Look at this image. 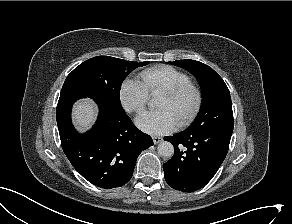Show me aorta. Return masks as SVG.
Masks as SVG:
<instances>
[{"label":"aorta","instance_id":"obj_1","mask_svg":"<svg viewBox=\"0 0 292 224\" xmlns=\"http://www.w3.org/2000/svg\"><path fill=\"white\" fill-rule=\"evenodd\" d=\"M157 151L160 156L169 158L174 154V146L168 141H163L158 145Z\"/></svg>","mask_w":292,"mask_h":224}]
</instances>
